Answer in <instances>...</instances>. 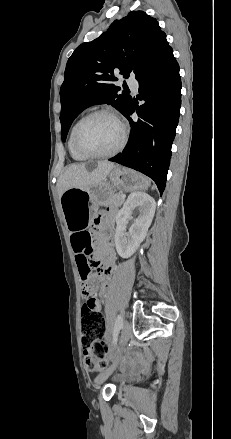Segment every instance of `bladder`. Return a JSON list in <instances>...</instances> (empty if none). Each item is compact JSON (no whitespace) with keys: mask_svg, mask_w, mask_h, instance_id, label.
Instances as JSON below:
<instances>
[{"mask_svg":"<svg viewBox=\"0 0 231 439\" xmlns=\"http://www.w3.org/2000/svg\"><path fill=\"white\" fill-rule=\"evenodd\" d=\"M128 376H125V375H122V376H117L114 380H113V382L114 383H123V382H126V381H128Z\"/></svg>","mask_w":231,"mask_h":439,"instance_id":"31cf9c89","label":"bladder"}]
</instances>
